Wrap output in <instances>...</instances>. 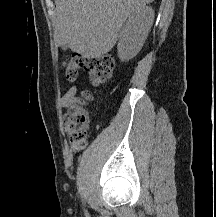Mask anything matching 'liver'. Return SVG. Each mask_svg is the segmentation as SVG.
Masks as SVG:
<instances>
[{
	"instance_id": "liver-1",
	"label": "liver",
	"mask_w": 216,
	"mask_h": 217,
	"mask_svg": "<svg viewBox=\"0 0 216 217\" xmlns=\"http://www.w3.org/2000/svg\"><path fill=\"white\" fill-rule=\"evenodd\" d=\"M154 0H55L54 39L85 58H100L116 44L127 17Z\"/></svg>"
}]
</instances>
